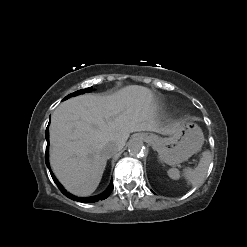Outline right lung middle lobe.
Listing matches in <instances>:
<instances>
[{
  "instance_id": "dd1d6c3e",
  "label": "right lung middle lobe",
  "mask_w": 247,
  "mask_h": 247,
  "mask_svg": "<svg viewBox=\"0 0 247 247\" xmlns=\"http://www.w3.org/2000/svg\"><path fill=\"white\" fill-rule=\"evenodd\" d=\"M91 89H92V87L86 88V89H83V90H79V91H76V92H74V93H71V94H69L68 96H66V97L64 98V100H65V99H68V98H70V97H72V96L82 94V93H84V92H90Z\"/></svg>"
}]
</instances>
